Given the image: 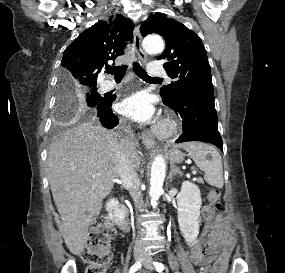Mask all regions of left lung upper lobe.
Returning a JSON list of instances; mask_svg holds the SVG:
<instances>
[{
	"instance_id": "5c2ea615",
	"label": "left lung upper lobe",
	"mask_w": 285,
	"mask_h": 273,
	"mask_svg": "<svg viewBox=\"0 0 285 273\" xmlns=\"http://www.w3.org/2000/svg\"><path fill=\"white\" fill-rule=\"evenodd\" d=\"M140 31L143 37L156 33L165 39L166 50L158 60H166L164 68L173 81L161 88L163 99L175 101L187 96H214L207 53L197 34L162 13L149 16Z\"/></svg>"
}]
</instances>
